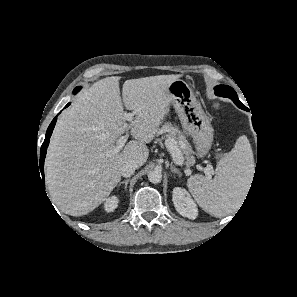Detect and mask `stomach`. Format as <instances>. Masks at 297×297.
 Here are the masks:
<instances>
[{"label":"stomach","instance_id":"0dacf381","mask_svg":"<svg viewBox=\"0 0 297 297\" xmlns=\"http://www.w3.org/2000/svg\"><path fill=\"white\" fill-rule=\"evenodd\" d=\"M168 94L185 133L193 138L198 157L205 156L213 142L209 117L185 81L177 79L171 82Z\"/></svg>","mask_w":297,"mask_h":297}]
</instances>
